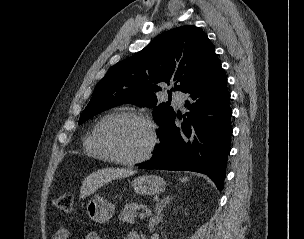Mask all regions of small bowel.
Listing matches in <instances>:
<instances>
[{
	"instance_id": "obj_1",
	"label": "small bowel",
	"mask_w": 304,
	"mask_h": 239,
	"mask_svg": "<svg viewBox=\"0 0 304 239\" xmlns=\"http://www.w3.org/2000/svg\"><path fill=\"white\" fill-rule=\"evenodd\" d=\"M135 234V232H130L126 239H132ZM71 237L72 235L70 230L62 227L55 231L52 239H71ZM84 239H101V237L96 232L91 231L85 235Z\"/></svg>"
}]
</instances>
